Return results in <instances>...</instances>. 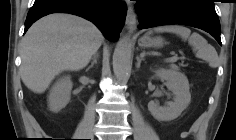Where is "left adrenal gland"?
I'll use <instances>...</instances> for the list:
<instances>
[{
    "label": "left adrenal gland",
    "instance_id": "a2214340",
    "mask_svg": "<svg viewBox=\"0 0 236 140\" xmlns=\"http://www.w3.org/2000/svg\"><path fill=\"white\" fill-rule=\"evenodd\" d=\"M144 60V56H140V57H137V64H136V67L139 68L140 65H141V61Z\"/></svg>",
    "mask_w": 236,
    "mask_h": 140
}]
</instances>
